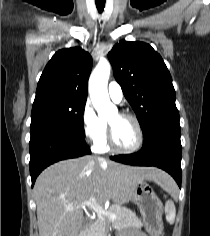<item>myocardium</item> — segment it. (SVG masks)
<instances>
[{"label":"myocardium","instance_id":"f54148a6","mask_svg":"<svg viewBox=\"0 0 210 236\" xmlns=\"http://www.w3.org/2000/svg\"><path fill=\"white\" fill-rule=\"evenodd\" d=\"M119 116L130 119L134 122V124L136 126V130H137V141H136L135 145L131 148H121V147L117 146L114 141V138H113L112 127L109 124L108 135H107L108 146L112 151L119 153V154L135 153L142 147L143 142H144V131H143L142 125H141L139 119L137 118V116H135L132 113L122 112L119 114Z\"/></svg>","mask_w":210,"mask_h":236}]
</instances>
